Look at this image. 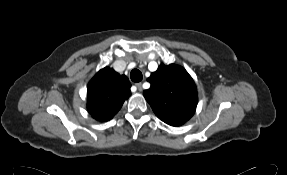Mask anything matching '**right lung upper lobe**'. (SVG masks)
Returning a JSON list of instances; mask_svg holds the SVG:
<instances>
[{
	"label": "right lung upper lobe",
	"instance_id": "obj_1",
	"mask_svg": "<svg viewBox=\"0 0 287 175\" xmlns=\"http://www.w3.org/2000/svg\"><path fill=\"white\" fill-rule=\"evenodd\" d=\"M131 84L125 75L105 67L100 70L87 87V108L98 121L110 120L131 95Z\"/></svg>",
	"mask_w": 287,
	"mask_h": 175
}]
</instances>
